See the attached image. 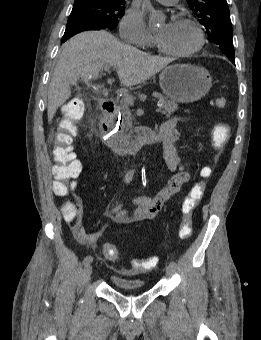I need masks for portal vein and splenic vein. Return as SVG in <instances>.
<instances>
[{
  "label": "portal vein and splenic vein",
  "mask_w": 261,
  "mask_h": 340,
  "mask_svg": "<svg viewBox=\"0 0 261 340\" xmlns=\"http://www.w3.org/2000/svg\"><path fill=\"white\" fill-rule=\"evenodd\" d=\"M104 70L105 71H109L110 70V66L109 65H106L104 66ZM123 101L125 104L127 105H134V98L132 95H129V94H124L123 97H122ZM156 112H161V104H158L156 109H155Z\"/></svg>",
  "instance_id": "1"
}]
</instances>
